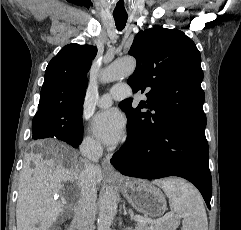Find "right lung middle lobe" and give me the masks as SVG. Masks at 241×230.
<instances>
[{
  "label": "right lung middle lobe",
  "instance_id": "right-lung-middle-lobe-1",
  "mask_svg": "<svg viewBox=\"0 0 241 230\" xmlns=\"http://www.w3.org/2000/svg\"><path fill=\"white\" fill-rule=\"evenodd\" d=\"M82 113L83 107H78L60 108L36 114L32 122V138L55 137L67 143H80L83 138Z\"/></svg>",
  "mask_w": 241,
  "mask_h": 230
}]
</instances>
